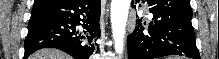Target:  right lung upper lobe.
Masks as SVG:
<instances>
[{
	"mask_svg": "<svg viewBox=\"0 0 219 59\" xmlns=\"http://www.w3.org/2000/svg\"><path fill=\"white\" fill-rule=\"evenodd\" d=\"M42 1H46V0H35L34 4H35V3L42 2Z\"/></svg>",
	"mask_w": 219,
	"mask_h": 59,
	"instance_id": "1",
	"label": "right lung upper lobe"
}]
</instances>
